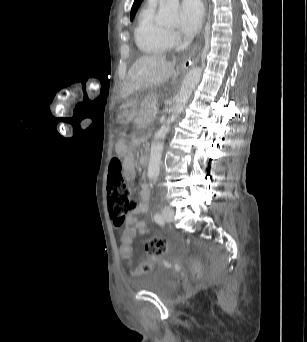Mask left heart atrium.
I'll return each instance as SVG.
<instances>
[{"mask_svg": "<svg viewBox=\"0 0 307 342\" xmlns=\"http://www.w3.org/2000/svg\"><path fill=\"white\" fill-rule=\"evenodd\" d=\"M204 9L198 1H185L181 6V23L178 38L188 44L201 28Z\"/></svg>", "mask_w": 307, "mask_h": 342, "instance_id": "obj_1", "label": "left heart atrium"}]
</instances>
